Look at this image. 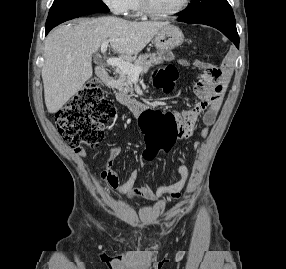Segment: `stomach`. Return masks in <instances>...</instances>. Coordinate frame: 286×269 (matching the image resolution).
Instances as JSON below:
<instances>
[{"label":"stomach","instance_id":"obj_1","mask_svg":"<svg viewBox=\"0 0 286 269\" xmlns=\"http://www.w3.org/2000/svg\"><path fill=\"white\" fill-rule=\"evenodd\" d=\"M184 41V35L179 27L168 24L160 29L154 37L156 49H174Z\"/></svg>","mask_w":286,"mask_h":269}]
</instances>
